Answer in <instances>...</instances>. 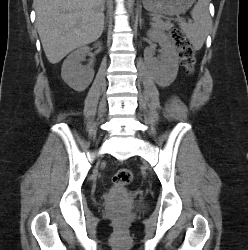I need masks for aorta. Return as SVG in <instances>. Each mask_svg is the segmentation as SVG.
Returning a JSON list of instances; mask_svg holds the SVG:
<instances>
[{"label": "aorta", "instance_id": "762f6f07", "mask_svg": "<svg viewBox=\"0 0 248 250\" xmlns=\"http://www.w3.org/2000/svg\"><path fill=\"white\" fill-rule=\"evenodd\" d=\"M134 6V0H127V8L131 12Z\"/></svg>", "mask_w": 248, "mask_h": 250}]
</instances>
